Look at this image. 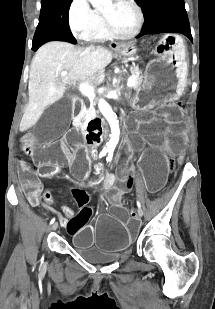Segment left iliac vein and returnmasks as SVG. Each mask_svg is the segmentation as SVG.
<instances>
[{"label": "left iliac vein", "mask_w": 215, "mask_h": 309, "mask_svg": "<svg viewBox=\"0 0 215 309\" xmlns=\"http://www.w3.org/2000/svg\"><path fill=\"white\" fill-rule=\"evenodd\" d=\"M143 214L138 211V216L141 218Z\"/></svg>", "instance_id": "4c4485c4"}]
</instances>
